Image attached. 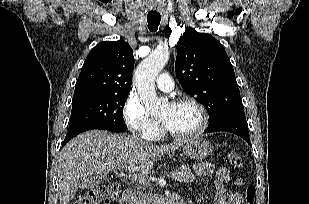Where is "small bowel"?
Returning <instances> with one entry per match:
<instances>
[{
    "label": "small bowel",
    "mask_w": 309,
    "mask_h": 204,
    "mask_svg": "<svg viewBox=\"0 0 309 204\" xmlns=\"http://www.w3.org/2000/svg\"><path fill=\"white\" fill-rule=\"evenodd\" d=\"M197 170L202 174H208L213 171V165L203 163L197 167ZM233 180L234 185L241 189L244 187V182L237 177L235 173L227 167H219L215 170V188L216 194L214 204H243L244 196L241 192L230 191L226 184Z\"/></svg>",
    "instance_id": "obj_1"
}]
</instances>
